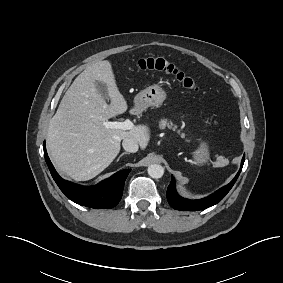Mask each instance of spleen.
Returning <instances> with one entry per match:
<instances>
[{
    "label": "spleen",
    "mask_w": 283,
    "mask_h": 283,
    "mask_svg": "<svg viewBox=\"0 0 283 283\" xmlns=\"http://www.w3.org/2000/svg\"><path fill=\"white\" fill-rule=\"evenodd\" d=\"M219 160L221 161L222 165H225V164H227V161H226V159L220 158Z\"/></svg>",
    "instance_id": "obj_1"
}]
</instances>
